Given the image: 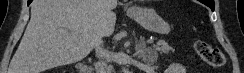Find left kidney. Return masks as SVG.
I'll use <instances>...</instances> for the list:
<instances>
[{
  "label": "left kidney",
  "mask_w": 244,
  "mask_h": 73,
  "mask_svg": "<svg viewBox=\"0 0 244 73\" xmlns=\"http://www.w3.org/2000/svg\"><path fill=\"white\" fill-rule=\"evenodd\" d=\"M166 73H186V69L179 63H172L169 65Z\"/></svg>",
  "instance_id": "5707ae66"
}]
</instances>
